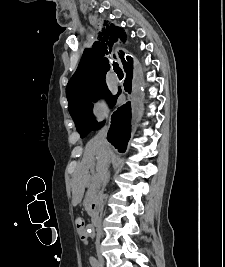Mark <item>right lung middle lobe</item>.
I'll list each match as a JSON object with an SVG mask.
<instances>
[{
	"instance_id": "right-lung-middle-lobe-1",
	"label": "right lung middle lobe",
	"mask_w": 225,
	"mask_h": 267,
	"mask_svg": "<svg viewBox=\"0 0 225 267\" xmlns=\"http://www.w3.org/2000/svg\"><path fill=\"white\" fill-rule=\"evenodd\" d=\"M101 96L107 98L111 106L114 105L116 96L110 94L106 85L91 88L78 101L69 105V112L82 138L91 131L102 127L104 123H98L92 114L93 102H96Z\"/></svg>"
}]
</instances>
